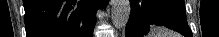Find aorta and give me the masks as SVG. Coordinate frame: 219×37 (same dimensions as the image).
Returning a JSON list of instances; mask_svg holds the SVG:
<instances>
[{"label":"aorta","mask_w":219,"mask_h":37,"mask_svg":"<svg viewBox=\"0 0 219 37\" xmlns=\"http://www.w3.org/2000/svg\"><path fill=\"white\" fill-rule=\"evenodd\" d=\"M111 19L116 29H122L126 26L130 17V1L129 0H112L111 1Z\"/></svg>","instance_id":"1"}]
</instances>
